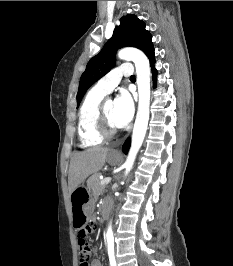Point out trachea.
<instances>
[{"label":"trachea","mask_w":233,"mask_h":266,"mask_svg":"<svg viewBox=\"0 0 233 266\" xmlns=\"http://www.w3.org/2000/svg\"><path fill=\"white\" fill-rule=\"evenodd\" d=\"M130 79H131V80H134V79H135V76H134V75H132Z\"/></svg>","instance_id":"trachea-1"}]
</instances>
